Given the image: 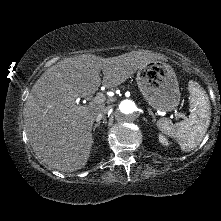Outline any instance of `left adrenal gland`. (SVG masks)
<instances>
[{"instance_id": "obj_1", "label": "left adrenal gland", "mask_w": 221, "mask_h": 221, "mask_svg": "<svg viewBox=\"0 0 221 221\" xmlns=\"http://www.w3.org/2000/svg\"><path fill=\"white\" fill-rule=\"evenodd\" d=\"M148 113H149V115L152 116L153 121H154L155 120V116H154V113L152 112V110L150 108H148Z\"/></svg>"}]
</instances>
